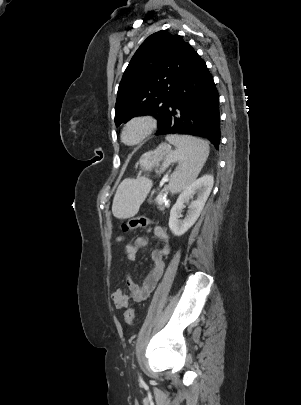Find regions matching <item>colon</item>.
<instances>
[{
  "instance_id": "1",
  "label": "colon",
  "mask_w": 301,
  "mask_h": 405,
  "mask_svg": "<svg viewBox=\"0 0 301 405\" xmlns=\"http://www.w3.org/2000/svg\"><path fill=\"white\" fill-rule=\"evenodd\" d=\"M152 222L144 216L132 218L124 223L121 224V229L123 232H128L137 228H146L150 226ZM118 243L124 242L125 238L118 236L116 238ZM135 317V310L132 306L128 307L124 313V320L126 324L131 325L133 323Z\"/></svg>"
}]
</instances>
